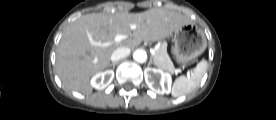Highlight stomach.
<instances>
[{"label": "stomach", "mask_w": 276, "mask_h": 120, "mask_svg": "<svg viewBox=\"0 0 276 120\" xmlns=\"http://www.w3.org/2000/svg\"><path fill=\"white\" fill-rule=\"evenodd\" d=\"M172 54L179 64H186L201 55L207 40L202 29L194 23L183 25L174 33Z\"/></svg>", "instance_id": "0dacf381"}]
</instances>
